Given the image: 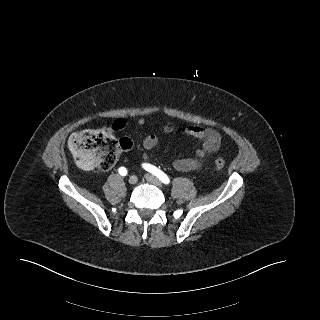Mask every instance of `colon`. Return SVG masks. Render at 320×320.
<instances>
[{
	"label": "colon",
	"mask_w": 320,
	"mask_h": 320,
	"mask_svg": "<svg viewBox=\"0 0 320 320\" xmlns=\"http://www.w3.org/2000/svg\"><path fill=\"white\" fill-rule=\"evenodd\" d=\"M115 130L117 127L114 124L113 127L85 129L70 136L69 148L83 168L108 170L116 163L122 150L132 147L129 138L118 140L114 135ZM214 165L216 169L222 170L225 161L219 157L214 161Z\"/></svg>",
	"instance_id": "colon-1"
}]
</instances>
